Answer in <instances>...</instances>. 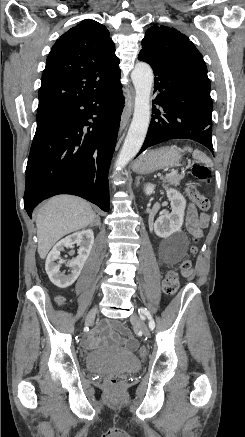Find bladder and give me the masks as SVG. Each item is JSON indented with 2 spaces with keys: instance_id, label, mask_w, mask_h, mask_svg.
<instances>
[{
  "instance_id": "1",
  "label": "bladder",
  "mask_w": 245,
  "mask_h": 437,
  "mask_svg": "<svg viewBox=\"0 0 245 437\" xmlns=\"http://www.w3.org/2000/svg\"><path fill=\"white\" fill-rule=\"evenodd\" d=\"M85 364L92 372L126 373L139 369L140 360L131 352L119 348H102L85 356Z\"/></svg>"
}]
</instances>
